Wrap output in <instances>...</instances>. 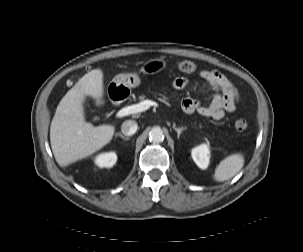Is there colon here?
Listing matches in <instances>:
<instances>
[{"mask_svg":"<svg viewBox=\"0 0 303 252\" xmlns=\"http://www.w3.org/2000/svg\"><path fill=\"white\" fill-rule=\"evenodd\" d=\"M177 69L180 72L191 74L197 70V64L193 61L181 60L177 62ZM235 128L238 132L243 133L248 129V122L243 118H239L235 121Z\"/></svg>","mask_w":303,"mask_h":252,"instance_id":"5ec220e1","label":"colon"}]
</instances>
